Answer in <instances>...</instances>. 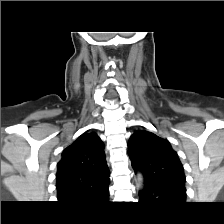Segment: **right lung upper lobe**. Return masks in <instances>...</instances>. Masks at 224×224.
<instances>
[{
  "instance_id": "1",
  "label": "right lung upper lobe",
  "mask_w": 224,
  "mask_h": 224,
  "mask_svg": "<svg viewBox=\"0 0 224 224\" xmlns=\"http://www.w3.org/2000/svg\"><path fill=\"white\" fill-rule=\"evenodd\" d=\"M56 178L60 203L98 200L108 191L109 169L96 133L82 134L63 151Z\"/></svg>"
}]
</instances>
